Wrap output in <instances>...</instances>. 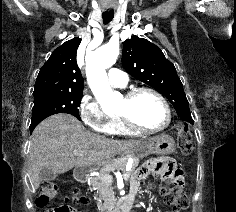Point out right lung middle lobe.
Wrapping results in <instances>:
<instances>
[{
    "label": "right lung middle lobe",
    "instance_id": "1",
    "mask_svg": "<svg viewBox=\"0 0 236 212\" xmlns=\"http://www.w3.org/2000/svg\"><path fill=\"white\" fill-rule=\"evenodd\" d=\"M81 98L82 92L44 93L34 96L30 131L43 119L57 113H68L81 120L78 110Z\"/></svg>",
    "mask_w": 236,
    "mask_h": 212
}]
</instances>
